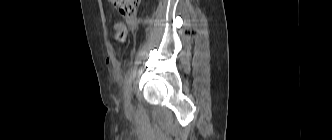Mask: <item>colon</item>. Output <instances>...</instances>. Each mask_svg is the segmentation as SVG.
Returning <instances> with one entry per match:
<instances>
[{"mask_svg":"<svg viewBox=\"0 0 332 140\" xmlns=\"http://www.w3.org/2000/svg\"><path fill=\"white\" fill-rule=\"evenodd\" d=\"M118 13L124 18H132L137 11L141 0H108ZM115 36L119 41L125 39V28L122 24L116 23L114 25Z\"/></svg>","mask_w":332,"mask_h":140,"instance_id":"1","label":"colon"}]
</instances>
